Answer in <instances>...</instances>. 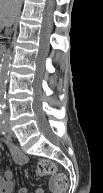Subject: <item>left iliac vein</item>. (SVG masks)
<instances>
[{
  "label": "left iliac vein",
  "instance_id": "obj_1",
  "mask_svg": "<svg viewBox=\"0 0 103 193\" xmlns=\"http://www.w3.org/2000/svg\"><path fill=\"white\" fill-rule=\"evenodd\" d=\"M6 130L8 132V134H13L12 130H11V127H10V123L9 121L7 120L6 122Z\"/></svg>",
  "mask_w": 103,
  "mask_h": 193
}]
</instances>
